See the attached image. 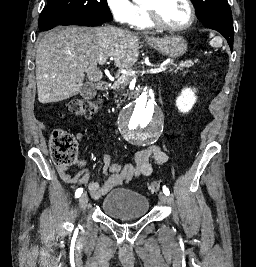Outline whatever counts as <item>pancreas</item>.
<instances>
[{
    "instance_id": "cf45deb5",
    "label": "pancreas",
    "mask_w": 256,
    "mask_h": 267,
    "mask_svg": "<svg viewBox=\"0 0 256 267\" xmlns=\"http://www.w3.org/2000/svg\"><path fill=\"white\" fill-rule=\"evenodd\" d=\"M194 66V62L192 60H187V62H180L179 68L177 70H182V68H191ZM168 72H172V70H168ZM124 80H118V82H114L111 86V90H116V92H120L122 96H127V94H123V90H125L126 86H128L129 82H131L133 76H127V74H123Z\"/></svg>"
}]
</instances>
